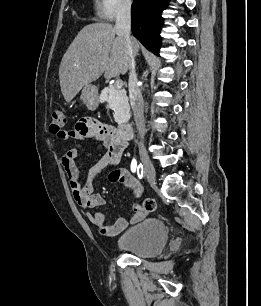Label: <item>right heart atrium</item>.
<instances>
[{
    "mask_svg": "<svg viewBox=\"0 0 261 306\" xmlns=\"http://www.w3.org/2000/svg\"><path fill=\"white\" fill-rule=\"evenodd\" d=\"M131 0H95L94 11L99 19L111 21L131 8Z\"/></svg>",
    "mask_w": 261,
    "mask_h": 306,
    "instance_id": "obj_1",
    "label": "right heart atrium"
}]
</instances>
